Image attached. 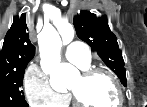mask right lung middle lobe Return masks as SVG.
Masks as SVG:
<instances>
[{
    "label": "right lung middle lobe",
    "instance_id": "right-lung-middle-lobe-1",
    "mask_svg": "<svg viewBox=\"0 0 147 107\" xmlns=\"http://www.w3.org/2000/svg\"><path fill=\"white\" fill-rule=\"evenodd\" d=\"M25 68L0 75V107H28L22 86Z\"/></svg>",
    "mask_w": 147,
    "mask_h": 107
}]
</instances>
